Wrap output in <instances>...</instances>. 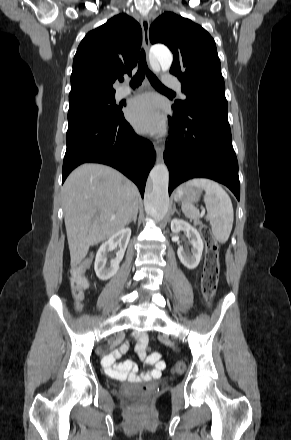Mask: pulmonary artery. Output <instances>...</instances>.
I'll use <instances>...</instances> for the list:
<instances>
[{
	"label": "pulmonary artery",
	"mask_w": 291,
	"mask_h": 440,
	"mask_svg": "<svg viewBox=\"0 0 291 440\" xmlns=\"http://www.w3.org/2000/svg\"><path fill=\"white\" fill-rule=\"evenodd\" d=\"M164 81H165L168 85H170L171 87H174V88H176V89L181 90V87H180L179 83L176 81V77H175L174 75H172V74H167V75L165 76ZM133 91H134L133 88H131V87H129V86H125V87H123V88H121V89H119V90L117 91V97H118L119 99L124 98V97L128 96L130 93H132ZM181 96H182V97H185V95H184L183 93H181Z\"/></svg>",
	"instance_id": "1"
}]
</instances>
